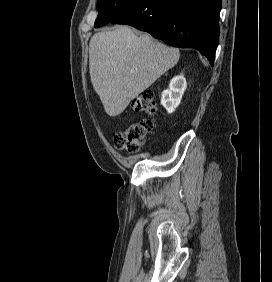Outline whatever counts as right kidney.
Listing matches in <instances>:
<instances>
[{"instance_id":"1","label":"right kidney","mask_w":272,"mask_h":282,"mask_svg":"<svg viewBox=\"0 0 272 282\" xmlns=\"http://www.w3.org/2000/svg\"><path fill=\"white\" fill-rule=\"evenodd\" d=\"M187 87L183 74L175 76L169 84V88L161 94V104L168 113H173L180 104L184 91Z\"/></svg>"}]
</instances>
